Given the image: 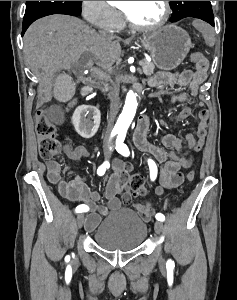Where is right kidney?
Wrapping results in <instances>:
<instances>
[{
  "label": "right kidney",
  "mask_w": 237,
  "mask_h": 300,
  "mask_svg": "<svg viewBox=\"0 0 237 300\" xmlns=\"http://www.w3.org/2000/svg\"><path fill=\"white\" fill-rule=\"evenodd\" d=\"M101 113L97 107L80 105L73 113L72 123L76 133L83 139H91L99 129Z\"/></svg>",
  "instance_id": "obj_1"
}]
</instances>
